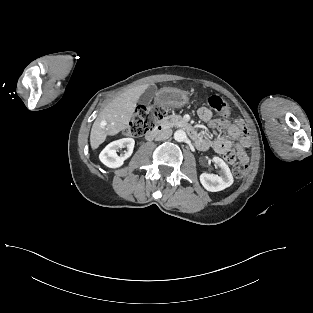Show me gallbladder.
<instances>
[{"label": "gallbladder", "instance_id": "obj_1", "mask_svg": "<svg viewBox=\"0 0 313 313\" xmlns=\"http://www.w3.org/2000/svg\"><path fill=\"white\" fill-rule=\"evenodd\" d=\"M156 93V87L155 86H149L144 95L141 98V101L143 103H147L151 101L153 95Z\"/></svg>", "mask_w": 313, "mask_h": 313}]
</instances>
